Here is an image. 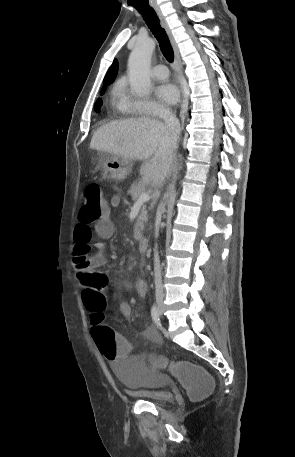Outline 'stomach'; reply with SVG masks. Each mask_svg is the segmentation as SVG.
Wrapping results in <instances>:
<instances>
[{"mask_svg": "<svg viewBox=\"0 0 295 457\" xmlns=\"http://www.w3.org/2000/svg\"><path fill=\"white\" fill-rule=\"evenodd\" d=\"M100 158L102 160L104 176L107 178L115 181H121L124 180L131 172V160L104 152L100 153Z\"/></svg>", "mask_w": 295, "mask_h": 457, "instance_id": "0dacf381", "label": "stomach"}]
</instances>
